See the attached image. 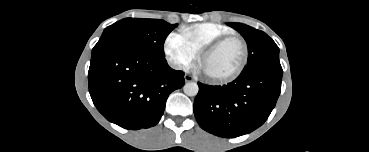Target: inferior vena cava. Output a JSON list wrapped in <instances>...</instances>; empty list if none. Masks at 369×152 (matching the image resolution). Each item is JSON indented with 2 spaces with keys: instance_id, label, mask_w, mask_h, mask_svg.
Returning a JSON list of instances; mask_svg holds the SVG:
<instances>
[{
  "instance_id": "obj_1",
  "label": "inferior vena cava",
  "mask_w": 369,
  "mask_h": 152,
  "mask_svg": "<svg viewBox=\"0 0 369 152\" xmlns=\"http://www.w3.org/2000/svg\"><path fill=\"white\" fill-rule=\"evenodd\" d=\"M170 64L172 65L173 68L179 69L180 65H174L172 62H170Z\"/></svg>"
}]
</instances>
